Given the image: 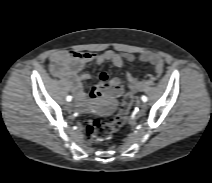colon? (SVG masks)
<instances>
[{"label": "colon", "instance_id": "1", "mask_svg": "<svg viewBox=\"0 0 212 183\" xmlns=\"http://www.w3.org/2000/svg\"><path fill=\"white\" fill-rule=\"evenodd\" d=\"M133 95L128 93L123 99L118 113L111 120L92 119L87 125V135L91 142L101 143L110 139L126 122Z\"/></svg>", "mask_w": 212, "mask_h": 183}]
</instances>
